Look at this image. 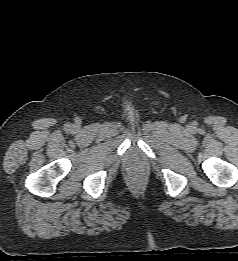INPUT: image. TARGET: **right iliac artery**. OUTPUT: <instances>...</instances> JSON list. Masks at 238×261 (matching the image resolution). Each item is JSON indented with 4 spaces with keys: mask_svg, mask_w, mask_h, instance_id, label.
<instances>
[{
    "mask_svg": "<svg viewBox=\"0 0 238 261\" xmlns=\"http://www.w3.org/2000/svg\"><path fill=\"white\" fill-rule=\"evenodd\" d=\"M65 128H66V129H69V128H70V124H66V125H65Z\"/></svg>",
    "mask_w": 238,
    "mask_h": 261,
    "instance_id": "right-iliac-artery-1",
    "label": "right iliac artery"
}]
</instances>
